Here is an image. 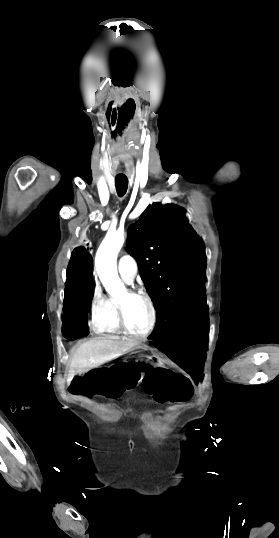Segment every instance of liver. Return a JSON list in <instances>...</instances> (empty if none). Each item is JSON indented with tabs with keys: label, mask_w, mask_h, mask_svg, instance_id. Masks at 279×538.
<instances>
[{
	"label": "liver",
	"mask_w": 279,
	"mask_h": 538,
	"mask_svg": "<svg viewBox=\"0 0 279 538\" xmlns=\"http://www.w3.org/2000/svg\"><path fill=\"white\" fill-rule=\"evenodd\" d=\"M134 346H138V344H134L130 340H120L118 336L93 338V340L81 344L71 360L68 382H71L76 374H84L92 368H98L105 362H110L117 356L127 354L131 348L134 350Z\"/></svg>",
	"instance_id": "1"
}]
</instances>
